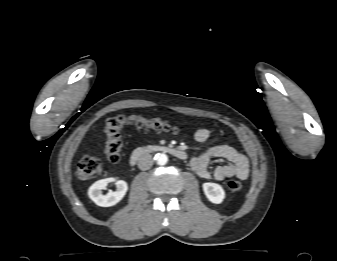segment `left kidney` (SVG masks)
Here are the masks:
<instances>
[{
	"instance_id": "left-kidney-1",
	"label": "left kidney",
	"mask_w": 337,
	"mask_h": 261,
	"mask_svg": "<svg viewBox=\"0 0 337 261\" xmlns=\"http://www.w3.org/2000/svg\"><path fill=\"white\" fill-rule=\"evenodd\" d=\"M204 194L209 201L220 204L225 198V192L221 185L217 183L206 182L202 185Z\"/></svg>"
}]
</instances>
